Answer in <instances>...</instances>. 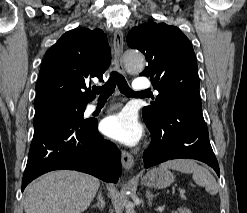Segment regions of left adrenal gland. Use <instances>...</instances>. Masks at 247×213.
<instances>
[{"instance_id":"1","label":"left adrenal gland","mask_w":247,"mask_h":213,"mask_svg":"<svg viewBox=\"0 0 247 213\" xmlns=\"http://www.w3.org/2000/svg\"><path fill=\"white\" fill-rule=\"evenodd\" d=\"M157 195H154L151 193L150 190H146V197L148 199V205L151 206L152 205V200L156 197Z\"/></svg>"}]
</instances>
